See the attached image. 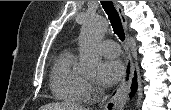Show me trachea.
Listing matches in <instances>:
<instances>
[{
  "label": "trachea",
  "instance_id": "1",
  "mask_svg": "<svg viewBox=\"0 0 171 110\" xmlns=\"http://www.w3.org/2000/svg\"><path fill=\"white\" fill-rule=\"evenodd\" d=\"M102 7L104 8L108 18L111 22L114 33L119 37L120 40L125 39V33L121 23L120 16L115 9L112 1H101Z\"/></svg>",
  "mask_w": 171,
  "mask_h": 110
}]
</instances>
